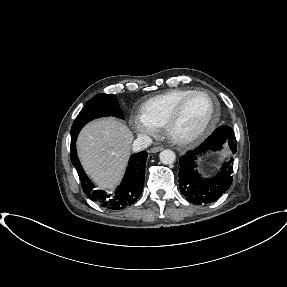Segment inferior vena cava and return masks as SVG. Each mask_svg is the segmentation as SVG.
Returning <instances> with one entry per match:
<instances>
[{
    "label": "inferior vena cava",
    "instance_id": "602c4592",
    "mask_svg": "<svg viewBox=\"0 0 287 287\" xmlns=\"http://www.w3.org/2000/svg\"><path fill=\"white\" fill-rule=\"evenodd\" d=\"M152 143V139L146 135H139L133 143V151L138 152L146 149Z\"/></svg>",
    "mask_w": 287,
    "mask_h": 287
}]
</instances>
